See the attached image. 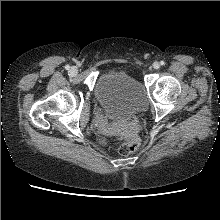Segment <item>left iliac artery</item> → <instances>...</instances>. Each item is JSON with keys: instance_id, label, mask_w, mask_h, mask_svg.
Here are the masks:
<instances>
[{"instance_id": "1", "label": "left iliac artery", "mask_w": 220, "mask_h": 220, "mask_svg": "<svg viewBox=\"0 0 220 220\" xmlns=\"http://www.w3.org/2000/svg\"><path fill=\"white\" fill-rule=\"evenodd\" d=\"M160 64L163 66V65H165V62H164V61H161Z\"/></svg>"}]
</instances>
